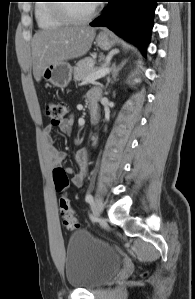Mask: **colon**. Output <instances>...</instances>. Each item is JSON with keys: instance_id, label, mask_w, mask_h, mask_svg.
<instances>
[{"instance_id": "obj_1", "label": "colon", "mask_w": 195, "mask_h": 299, "mask_svg": "<svg viewBox=\"0 0 195 299\" xmlns=\"http://www.w3.org/2000/svg\"><path fill=\"white\" fill-rule=\"evenodd\" d=\"M67 110V104L63 101L49 102L45 106V115L50 119L52 125H59ZM52 175L56 192L62 194L59 198V210L63 217V224L68 230H77L80 223L75 217L68 198L63 195L69 184L67 173L62 167L57 166L53 169Z\"/></svg>"}]
</instances>
